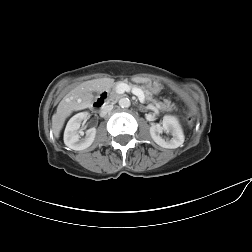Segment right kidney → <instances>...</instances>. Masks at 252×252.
Returning a JSON list of instances; mask_svg holds the SVG:
<instances>
[{
	"mask_svg": "<svg viewBox=\"0 0 252 252\" xmlns=\"http://www.w3.org/2000/svg\"><path fill=\"white\" fill-rule=\"evenodd\" d=\"M88 118V114L85 112L74 115L67 123L64 132V143L67 147L73 150H84L91 146L96 136V128H90L86 131V136L81 138L78 134V129L81 126V122Z\"/></svg>",
	"mask_w": 252,
	"mask_h": 252,
	"instance_id": "obj_1",
	"label": "right kidney"
}]
</instances>
